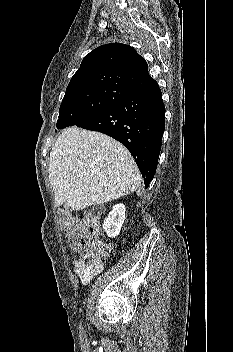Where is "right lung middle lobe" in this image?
Segmentation results:
<instances>
[{
  "label": "right lung middle lobe",
  "mask_w": 233,
  "mask_h": 352,
  "mask_svg": "<svg viewBox=\"0 0 233 352\" xmlns=\"http://www.w3.org/2000/svg\"><path fill=\"white\" fill-rule=\"evenodd\" d=\"M135 92L132 88L116 84L78 88L66 92L56 127L62 129L78 125Z\"/></svg>",
  "instance_id": "dd1d6c3e"
}]
</instances>
